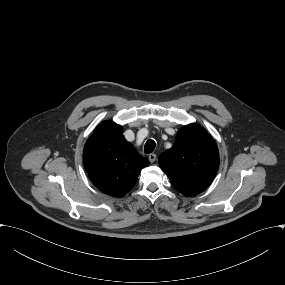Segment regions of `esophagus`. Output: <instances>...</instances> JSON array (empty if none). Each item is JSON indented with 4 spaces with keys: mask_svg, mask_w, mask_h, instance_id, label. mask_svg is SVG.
I'll list each match as a JSON object with an SVG mask.
<instances>
[{
    "mask_svg": "<svg viewBox=\"0 0 285 285\" xmlns=\"http://www.w3.org/2000/svg\"><path fill=\"white\" fill-rule=\"evenodd\" d=\"M156 154H150L149 156H148V159H149V161H150V163H153L155 160H156Z\"/></svg>",
    "mask_w": 285,
    "mask_h": 285,
    "instance_id": "obj_1",
    "label": "esophagus"
}]
</instances>
